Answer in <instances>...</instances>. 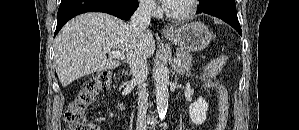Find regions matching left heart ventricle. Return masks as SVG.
<instances>
[{
    "mask_svg": "<svg viewBox=\"0 0 299 130\" xmlns=\"http://www.w3.org/2000/svg\"><path fill=\"white\" fill-rule=\"evenodd\" d=\"M186 3H187V1L181 0V1H177L173 6H174L175 10L179 11L186 6Z\"/></svg>",
    "mask_w": 299,
    "mask_h": 130,
    "instance_id": "left-heart-ventricle-1",
    "label": "left heart ventricle"
}]
</instances>
